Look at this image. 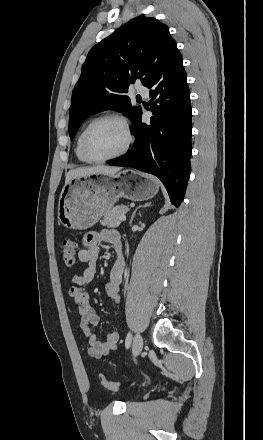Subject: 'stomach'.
Returning a JSON list of instances; mask_svg holds the SVG:
<instances>
[{
	"label": "stomach",
	"mask_w": 263,
	"mask_h": 440,
	"mask_svg": "<svg viewBox=\"0 0 263 440\" xmlns=\"http://www.w3.org/2000/svg\"><path fill=\"white\" fill-rule=\"evenodd\" d=\"M158 190L159 183L154 177L136 172L73 178L60 193L58 222L67 229L85 230L111 210L119 198L143 201Z\"/></svg>",
	"instance_id": "obj_1"
}]
</instances>
